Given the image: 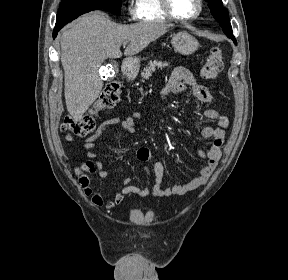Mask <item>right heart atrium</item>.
<instances>
[{
    "instance_id": "right-heart-atrium-1",
    "label": "right heart atrium",
    "mask_w": 288,
    "mask_h": 280,
    "mask_svg": "<svg viewBox=\"0 0 288 280\" xmlns=\"http://www.w3.org/2000/svg\"><path fill=\"white\" fill-rule=\"evenodd\" d=\"M127 14L130 18H136L137 16V5L135 0H128L126 6Z\"/></svg>"
}]
</instances>
